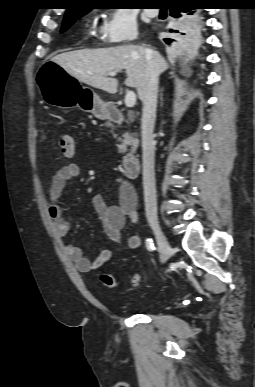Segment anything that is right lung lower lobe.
<instances>
[{"label":"right lung lower lobe","mask_w":255,"mask_h":387,"mask_svg":"<svg viewBox=\"0 0 255 387\" xmlns=\"http://www.w3.org/2000/svg\"><path fill=\"white\" fill-rule=\"evenodd\" d=\"M170 16L173 17L174 20L180 22L179 30H175L171 32H177L181 35H185V39L189 43H193V40L198 32V28L195 23V19L197 16L198 4L194 0H183L173 3L170 7ZM164 41L167 44H170L174 39L165 38ZM179 45H184L182 40H179Z\"/></svg>","instance_id":"obj_1"}]
</instances>
